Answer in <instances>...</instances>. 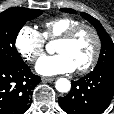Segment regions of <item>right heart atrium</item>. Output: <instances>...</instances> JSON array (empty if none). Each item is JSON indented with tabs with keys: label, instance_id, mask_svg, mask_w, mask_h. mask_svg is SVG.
I'll use <instances>...</instances> for the list:
<instances>
[{
	"label": "right heart atrium",
	"instance_id": "d8ad5b80",
	"mask_svg": "<svg viewBox=\"0 0 114 114\" xmlns=\"http://www.w3.org/2000/svg\"><path fill=\"white\" fill-rule=\"evenodd\" d=\"M15 47L20 56L27 62L37 61L45 52V39L31 26H23L15 37Z\"/></svg>",
	"mask_w": 114,
	"mask_h": 114
}]
</instances>
